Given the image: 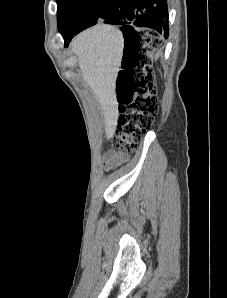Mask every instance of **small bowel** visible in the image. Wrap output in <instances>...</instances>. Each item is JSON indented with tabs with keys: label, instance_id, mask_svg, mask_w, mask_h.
<instances>
[{
	"label": "small bowel",
	"instance_id": "c3829d8e",
	"mask_svg": "<svg viewBox=\"0 0 227 298\" xmlns=\"http://www.w3.org/2000/svg\"><path fill=\"white\" fill-rule=\"evenodd\" d=\"M129 155L121 150L111 149L102 156L103 166L106 170H112L128 161Z\"/></svg>",
	"mask_w": 227,
	"mask_h": 298
}]
</instances>
